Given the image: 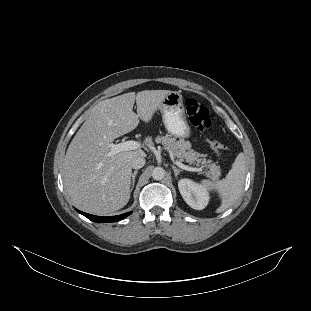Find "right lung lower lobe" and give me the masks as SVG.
Listing matches in <instances>:
<instances>
[{"label": "right lung lower lobe", "mask_w": 311, "mask_h": 311, "mask_svg": "<svg viewBox=\"0 0 311 311\" xmlns=\"http://www.w3.org/2000/svg\"><path fill=\"white\" fill-rule=\"evenodd\" d=\"M77 211L79 213H81L82 215H84L85 217H87L88 219H90L91 221H94V222H97V223L117 222V221H120V220L126 218L128 215H130L132 213V211H131V212H128V213H124L122 215H117V216L99 217V216H94V215H91V214H87V213L81 212L79 210H77Z\"/></svg>", "instance_id": "98d812e1"}]
</instances>
